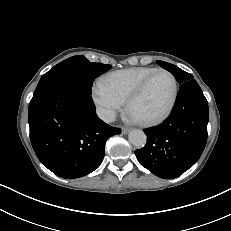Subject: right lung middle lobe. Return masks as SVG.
<instances>
[{"label": "right lung middle lobe", "instance_id": "dd1d6c3e", "mask_svg": "<svg viewBox=\"0 0 231 231\" xmlns=\"http://www.w3.org/2000/svg\"><path fill=\"white\" fill-rule=\"evenodd\" d=\"M110 69L111 65L92 63L81 55L70 57L41 77L32 101L60 84L75 85L91 93L95 78Z\"/></svg>", "mask_w": 231, "mask_h": 231}]
</instances>
